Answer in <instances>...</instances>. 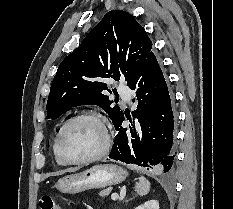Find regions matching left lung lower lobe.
Listing matches in <instances>:
<instances>
[{"label":"left lung lower lobe","instance_id":"left-lung-lower-lobe-1","mask_svg":"<svg viewBox=\"0 0 233 209\" xmlns=\"http://www.w3.org/2000/svg\"><path fill=\"white\" fill-rule=\"evenodd\" d=\"M128 86L139 100L133 112L137 121L134 123L127 117L131 126L123 128L125 115L122 113L113 123L117 135L109 158L166 173L172 169L175 158L172 148L174 114L165 78L153 53Z\"/></svg>","mask_w":233,"mask_h":209}]
</instances>
